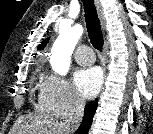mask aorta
Returning <instances> with one entry per match:
<instances>
[{"label": "aorta", "mask_w": 153, "mask_h": 134, "mask_svg": "<svg viewBox=\"0 0 153 134\" xmlns=\"http://www.w3.org/2000/svg\"><path fill=\"white\" fill-rule=\"evenodd\" d=\"M83 33L81 25H75L62 31L56 39L52 50L50 63L53 70L59 75H66L69 70L71 54Z\"/></svg>", "instance_id": "762f6f07"}]
</instances>
